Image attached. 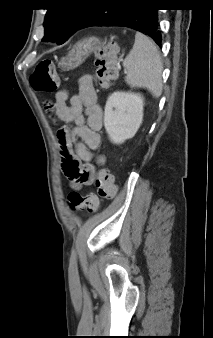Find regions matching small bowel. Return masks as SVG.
Instances as JSON below:
<instances>
[{
	"label": "small bowel",
	"instance_id": "obj_1",
	"mask_svg": "<svg viewBox=\"0 0 213 338\" xmlns=\"http://www.w3.org/2000/svg\"><path fill=\"white\" fill-rule=\"evenodd\" d=\"M68 96L67 90L57 92L51 112L65 124H74L73 128L64 129L59 134V144L61 150L68 148L74 158L84 163V167L69 178L71 186L78 190L90 185L93 180L94 166L91 161L93 151L100 144L98 132L102 126L103 111L97 102L90 76L80 78L78 93L70 99ZM62 159H65L64 155Z\"/></svg>",
	"mask_w": 213,
	"mask_h": 338
}]
</instances>
